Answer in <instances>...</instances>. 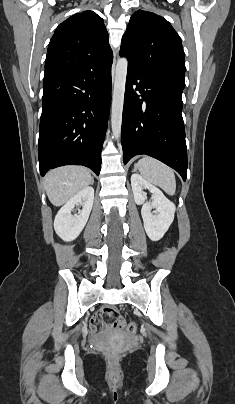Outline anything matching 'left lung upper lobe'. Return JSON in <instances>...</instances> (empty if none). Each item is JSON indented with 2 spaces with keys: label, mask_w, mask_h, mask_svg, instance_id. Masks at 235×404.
Here are the masks:
<instances>
[{
  "label": "left lung upper lobe",
  "mask_w": 235,
  "mask_h": 404,
  "mask_svg": "<svg viewBox=\"0 0 235 404\" xmlns=\"http://www.w3.org/2000/svg\"><path fill=\"white\" fill-rule=\"evenodd\" d=\"M120 56L128 66L184 89L185 61L181 39L171 24L152 12L138 10L122 37Z\"/></svg>",
  "instance_id": "1"
}]
</instances>
